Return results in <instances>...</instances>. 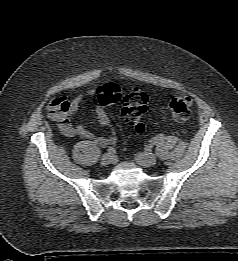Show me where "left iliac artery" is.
<instances>
[{"instance_id": "left-iliac-artery-1", "label": "left iliac artery", "mask_w": 238, "mask_h": 261, "mask_svg": "<svg viewBox=\"0 0 238 261\" xmlns=\"http://www.w3.org/2000/svg\"><path fill=\"white\" fill-rule=\"evenodd\" d=\"M164 139H165V135L159 134V135L155 136L150 142L152 145H155V144L162 142Z\"/></svg>"}]
</instances>
